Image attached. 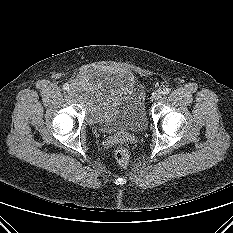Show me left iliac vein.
<instances>
[{"instance_id":"obj_1","label":"left iliac vein","mask_w":233,"mask_h":233,"mask_svg":"<svg viewBox=\"0 0 233 233\" xmlns=\"http://www.w3.org/2000/svg\"><path fill=\"white\" fill-rule=\"evenodd\" d=\"M161 97H162V91H156L153 94V99L156 100V101L159 100Z\"/></svg>"}]
</instances>
